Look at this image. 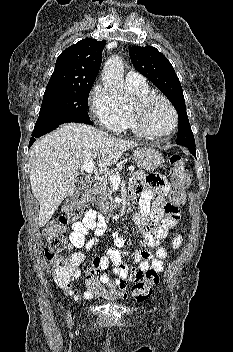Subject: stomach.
I'll use <instances>...</instances> for the list:
<instances>
[{"mask_svg": "<svg viewBox=\"0 0 233 352\" xmlns=\"http://www.w3.org/2000/svg\"><path fill=\"white\" fill-rule=\"evenodd\" d=\"M134 157L137 166L144 170H154L162 163V155L151 147L137 149Z\"/></svg>", "mask_w": 233, "mask_h": 352, "instance_id": "1", "label": "stomach"}]
</instances>
